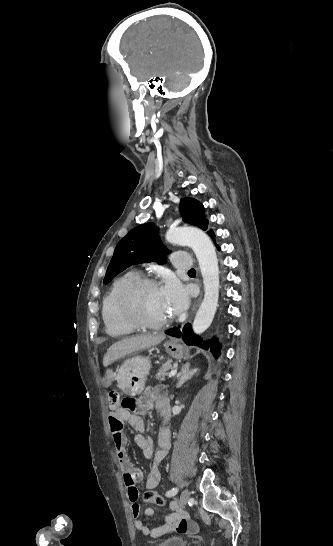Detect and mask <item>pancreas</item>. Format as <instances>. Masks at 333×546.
I'll list each match as a JSON object with an SVG mask.
<instances>
[{"instance_id":"pancreas-1","label":"pancreas","mask_w":333,"mask_h":546,"mask_svg":"<svg viewBox=\"0 0 333 546\" xmlns=\"http://www.w3.org/2000/svg\"><path fill=\"white\" fill-rule=\"evenodd\" d=\"M174 367H175V365H173L171 361H167L159 369V372L156 374V379L165 380V377L168 376L169 371L172 370Z\"/></svg>"}]
</instances>
